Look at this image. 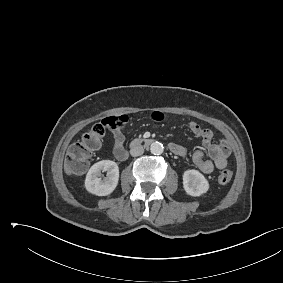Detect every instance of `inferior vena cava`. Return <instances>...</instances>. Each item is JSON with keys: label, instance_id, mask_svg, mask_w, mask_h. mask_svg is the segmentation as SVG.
<instances>
[{"label": "inferior vena cava", "instance_id": "1", "mask_svg": "<svg viewBox=\"0 0 283 283\" xmlns=\"http://www.w3.org/2000/svg\"><path fill=\"white\" fill-rule=\"evenodd\" d=\"M144 153V148L142 146H133L130 150V154L133 157L140 156Z\"/></svg>", "mask_w": 283, "mask_h": 283}]
</instances>
